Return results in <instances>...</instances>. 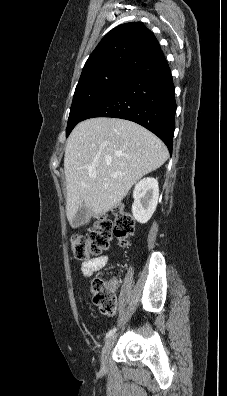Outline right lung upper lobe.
<instances>
[{"instance_id": "1", "label": "right lung upper lobe", "mask_w": 227, "mask_h": 396, "mask_svg": "<svg viewBox=\"0 0 227 396\" xmlns=\"http://www.w3.org/2000/svg\"><path fill=\"white\" fill-rule=\"evenodd\" d=\"M159 52L157 39L142 22L121 24L107 33L91 53L80 80L109 68L134 70Z\"/></svg>"}]
</instances>
